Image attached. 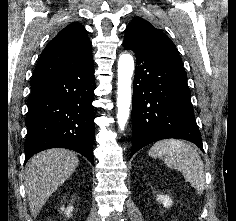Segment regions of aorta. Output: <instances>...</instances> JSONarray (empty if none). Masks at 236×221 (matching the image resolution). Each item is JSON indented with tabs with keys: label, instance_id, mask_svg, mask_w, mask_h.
<instances>
[{
	"label": "aorta",
	"instance_id": "obj_1",
	"mask_svg": "<svg viewBox=\"0 0 236 221\" xmlns=\"http://www.w3.org/2000/svg\"><path fill=\"white\" fill-rule=\"evenodd\" d=\"M134 71L132 55L123 53L118 60V91H117V123L119 129L124 131L130 115L131 83Z\"/></svg>",
	"mask_w": 236,
	"mask_h": 221
}]
</instances>
